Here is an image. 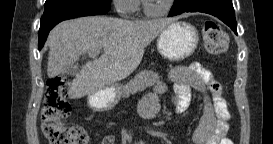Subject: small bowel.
<instances>
[{
  "label": "small bowel",
  "mask_w": 273,
  "mask_h": 144,
  "mask_svg": "<svg viewBox=\"0 0 273 144\" xmlns=\"http://www.w3.org/2000/svg\"><path fill=\"white\" fill-rule=\"evenodd\" d=\"M166 82L176 85L173 102L177 113H183L188 109L192 89L203 94L204 111L193 134V142L195 144H227L225 135L229 130L231 116L223 98L222 86L213 73L200 64L171 69L166 81L158 82L153 91L141 100L138 107L139 115L148 120L157 116L160 112V95L166 91ZM100 143L114 144L115 138L109 135Z\"/></svg>",
  "instance_id": "1"
}]
</instances>
